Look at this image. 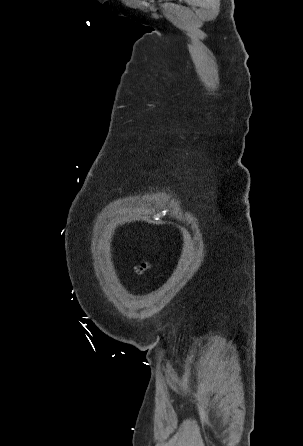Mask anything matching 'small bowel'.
Listing matches in <instances>:
<instances>
[{
    "mask_svg": "<svg viewBox=\"0 0 303 446\" xmlns=\"http://www.w3.org/2000/svg\"><path fill=\"white\" fill-rule=\"evenodd\" d=\"M112 251H108V253H107V257L110 259L111 257H112Z\"/></svg>",
    "mask_w": 303,
    "mask_h": 446,
    "instance_id": "small-bowel-1",
    "label": "small bowel"
}]
</instances>
